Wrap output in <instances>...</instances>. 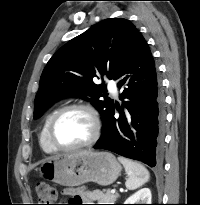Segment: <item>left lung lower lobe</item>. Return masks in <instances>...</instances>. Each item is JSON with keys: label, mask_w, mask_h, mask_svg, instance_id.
<instances>
[{"label": "left lung lower lobe", "mask_w": 200, "mask_h": 205, "mask_svg": "<svg viewBox=\"0 0 200 205\" xmlns=\"http://www.w3.org/2000/svg\"><path fill=\"white\" fill-rule=\"evenodd\" d=\"M114 80H118L123 107L113 104L94 148L115 152L150 167L159 166L163 158L164 98L151 51L139 32ZM115 111L119 112V118L114 117Z\"/></svg>", "instance_id": "0a47b994"}]
</instances>
